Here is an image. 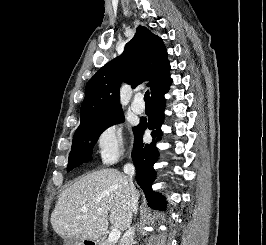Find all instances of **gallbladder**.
I'll list each match as a JSON object with an SVG mask.
<instances>
[{"instance_id": "gallbladder-1", "label": "gallbladder", "mask_w": 266, "mask_h": 245, "mask_svg": "<svg viewBox=\"0 0 266 245\" xmlns=\"http://www.w3.org/2000/svg\"><path fill=\"white\" fill-rule=\"evenodd\" d=\"M64 243H65V245H73V243H75V241H71V239H65Z\"/></svg>"}]
</instances>
